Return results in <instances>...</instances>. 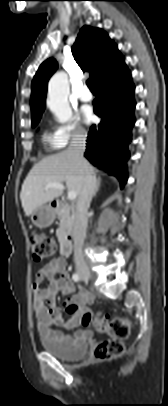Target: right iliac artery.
Segmentation results:
<instances>
[{"instance_id": "obj_1", "label": "right iliac artery", "mask_w": 168, "mask_h": 406, "mask_svg": "<svg viewBox=\"0 0 168 406\" xmlns=\"http://www.w3.org/2000/svg\"><path fill=\"white\" fill-rule=\"evenodd\" d=\"M72 279H73L75 282H78V281L80 280V277H79L78 274L75 273V274H73Z\"/></svg>"}]
</instances>
